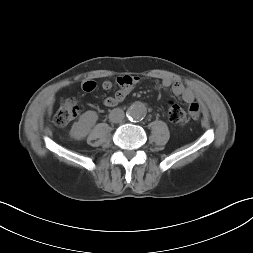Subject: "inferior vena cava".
Segmentation results:
<instances>
[{"label": "inferior vena cava", "mask_w": 253, "mask_h": 253, "mask_svg": "<svg viewBox=\"0 0 253 253\" xmlns=\"http://www.w3.org/2000/svg\"><path fill=\"white\" fill-rule=\"evenodd\" d=\"M124 111L120 108L113 109L109 114V119L113 123H119L124 119Z\"/></svg>", "instance_id": "inferior-vena-cava-1"}]
</instances>
